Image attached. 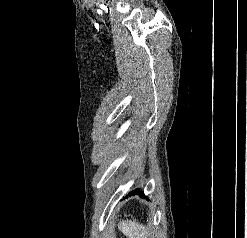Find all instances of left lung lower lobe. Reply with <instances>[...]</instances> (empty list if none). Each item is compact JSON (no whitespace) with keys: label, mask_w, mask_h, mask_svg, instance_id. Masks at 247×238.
<instances>
[{"label":"left lung lower lobe","mask_w":247,"mask_h":238,"mask_svg":"<svg viewBox=\"0 0 247 238\" xmlns=\"http://www.w3.org/2000/svg\"><path fill=\"white\" fill-rule=\"evenodd\" d=\"M135 194H139V190H138V189H136V190L130 192L128 195L131 196V195H135ZM141 196H142V197H145L144 193H141Z\"/></svg>","instance_id":"left-lung-lower-lobe-1"}]
</instances>
